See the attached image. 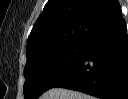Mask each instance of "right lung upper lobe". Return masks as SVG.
Segmentation results:
<instances>
[{
  "mask_svg": "<svg viewBox=\"0 0 128 99\" xmlns=\"http://www.w3.org/2000/svg\"><path fill=\"white\" fill-rule=\"evenodd\" d=\"M117 0H49L27 42V59L53 48L86 42L111 24Z\"/></svg>",
  "mask_w": 128,
  "mask_h": 99,
  "instance_id": "1",
  "label": "right lung upper lobe"
}]
</instances>
